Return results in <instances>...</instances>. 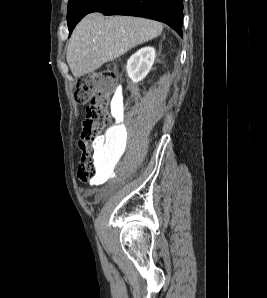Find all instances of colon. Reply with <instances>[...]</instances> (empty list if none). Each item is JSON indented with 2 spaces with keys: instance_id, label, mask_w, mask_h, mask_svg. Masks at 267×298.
<instances>
[{
  "instance_id": "colon-1",
  "label": "colon",
  "mask_w": 267,
  "mask_h": 298,
  "mask_svg": "<svg viewBox=\"0 0 267 298\" xmlns=\"http://www.w3.org/2000/svg\"><path fill=\"white\" fill-rule=\"evenodd\" d=\"M116 74L113 70L90 73L79 78L74 99L79 104L90 103L81 124L78 146L81 152L78 177L82 181L98 176L96 160L89 146L100 148L99 135L109 123L108 106L115 88Z\"/></svg>"
}]
</instances>
